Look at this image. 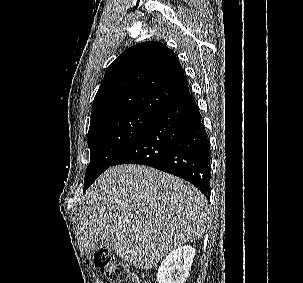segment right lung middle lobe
Instances as JSON below:
<instances>
[{
    "label": "right lung middle lobe",
    "mask_w": 303,
    "mask_h": 283,
    "mask_svg": "<svg viewBox=\"0 0 303 283\" xmlns=\"http://www.w3.org/2000/svg\"><path fill=\"white\" fill-rule=\"evenodd\" d=\"M156 115L125 112L103 118L90 125L88 146L90 164L84 179V191L131 145Z\"/></svg>",
    "instance_id": "dd1d6c3e"
}]
</instances>
